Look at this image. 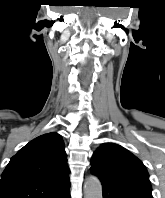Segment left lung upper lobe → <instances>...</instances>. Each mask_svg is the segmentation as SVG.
<instances>
[{"instance_id": "left-lung-upper-lobe-1", "label": "left lung upper lobe", "mask_w": 165, "mask_h": 198, "mask_svg": "<svg viewBox=\"0 0 165 198\" xmlns=\"http://www.w3.org/2000/svg\"><path fill=\"white\" fill-rule=\"evenodd\" d=\"M90 170L99 177L102 184L131 198H152L146 167L118 144H102L93 155Z\"/></svg>"}]
</instances>
